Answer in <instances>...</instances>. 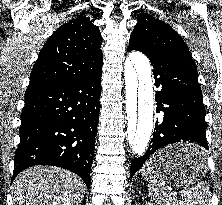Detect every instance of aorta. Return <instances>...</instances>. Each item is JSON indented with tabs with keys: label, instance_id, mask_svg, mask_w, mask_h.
Listing matches in <instances>:
<instances>
[{
	"label": "aorta",
	"instance_id": "1",
	"mask_svg": "<svg viewBox=\"0 0 222 205\" xmlns=\"http://www.w3.org/2000/svg\"><path fill=\"white\" fill-rule=\"evenodd\" d=\"M127 111L126 146L135 157L145 154L153 132L154 95L151 66L141 52H132L125 62Z\"/></svg>",
	"mask_w": 222,
	"mask_h": 205
}]
</instances>
